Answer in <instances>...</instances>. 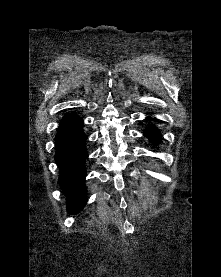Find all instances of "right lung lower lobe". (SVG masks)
<instances>
[{
    "label": "right lung lower lobe",
    "instance_id": "obj_1",
    "mask_svg": "<svg viewBox=\"0 0 221 277\" xmlns=\"http://www.w3.org/2000/svg\"><path fill=\"white\" fill-rule=\"evenodd\" d=\"M83 120L75 113L66 114L55 138V160L60 169L59 184L67 196L68 212L76 213L86 203L85 160L88 157Z\"/></svg>",
    "mask_w": 221,
    "mask_h": 277
}]
</instances>
